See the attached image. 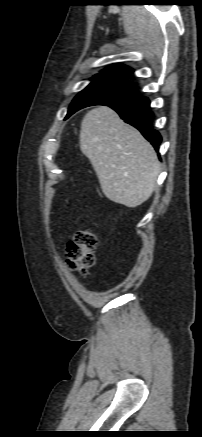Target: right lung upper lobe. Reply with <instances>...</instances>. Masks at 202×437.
<instances>
[{
  "instance_id": "1",
  "label": "right lung upper lobe",
  "mask_w": 202,
  "mask_h": 437,
  "mask_svg": "<svg viewBox=\"0 0 202 437\" xmlns=\"http://www.w3.org/2000/svg\"><path fill=\"white\" fill-rule=\"evenodd\" d=\"M102 72L116 73V74H120V75L128 77V78H131L130 73H132L133 70L126 65L115 64V65H112V66L102 70Z\"/></svg>"
}]
</instances>
